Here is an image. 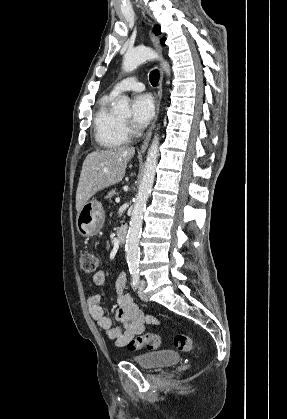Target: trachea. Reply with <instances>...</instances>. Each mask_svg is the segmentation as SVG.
Instances as JSON below:
<instances>
[{
	"label": "trachea",
	"mask_w": 287,
	"mask_h": 419,
	"mask_svg": "<svg viewBox=\"0 0 287 419\" xmlns=\"http://www.w3.org/2000/svg\"><path fill=\"white\" fill-rule=\"evenodd\" d=\"M150 82L153 86H156L159 82V71L153 70L149 75Z\"/></svg>",
	"instance_id": "3493384b"
}]
</instances>
